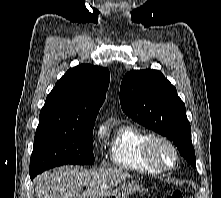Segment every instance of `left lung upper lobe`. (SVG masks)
Here are the masks:
<instances>
[{
	"mask_svg": "<svg viewBox=\"0 0 221 198\" xmlns=\"http://www.w3.org/2000/svg\"><path fill=\"white\" fill-rule=\"evenodd\" d=\"M120 104L127 116L173 141L180 154L196 167L185 105L160 71L128 72L121 82Z\"/></svg>",
	"mask_w": 221,
	"mask_h": 198,
	"instance_id": "1",
	"label": "left lung upper lobe"
}]
</instances>
